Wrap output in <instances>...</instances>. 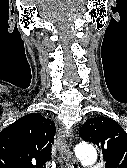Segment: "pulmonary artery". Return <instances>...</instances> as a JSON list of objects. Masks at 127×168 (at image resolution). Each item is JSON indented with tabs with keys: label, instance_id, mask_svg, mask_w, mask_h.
<instances>
[{
	"label": "pulmonary artery",
	"instance_id": "obj_1",
	"mask_svg": "<svg viewBox=\"0 0 127 168\" xmlns=\"http://www.w3.org/2000/svg\"><path fill=\"white\" fill-rule=\"evenodd\" d=\"M89 168H99L98 165H90Z\"/></svg>",
	"mask_w": 127,
	"mask_h": 168
}]
</instances>
